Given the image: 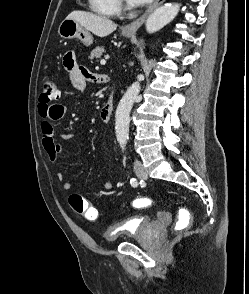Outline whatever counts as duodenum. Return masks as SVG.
<instances>
[{
    "instance_id": "1",
    "label": "duodenum",
    "mask_w": 249,
    "mask_h": 294,
    "mask_svg": "<svg viewBox=\"0 0 249 294\" xmlns=\"http://www.w3.org/2000/svg\"><path fill=\"white\" fill-rule=\"evenodd\" d=\"M100 81L102 82H108V78L105 75L100 76ZM113 112V101L112 99H108V101L104 104L100 111V120L103 123H108L110 121V118L112 116Z\"/></svg>"
}]
</instances>
